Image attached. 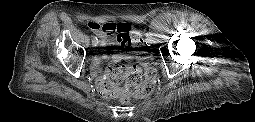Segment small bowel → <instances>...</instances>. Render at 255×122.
I'll return each mask as SVG.
<instances>
[{
	"label": "small bowel",
	"instance_id": "small-bowel-1",
	"mask_svg": "<svg viewBox=\"0 0 255 122\" xmlns=\"http://www.w3.org/2000/svg\"><path fill=\"white\" fill-rule=\"evenodd\" d=\"M97 40L100 41L101 47H106L108 45V34L103 31H96ZM125 39L122 36H117V39L114 43H111V45H117V46H126L124 44ZM106 57V55H104ZM133 59V56L130 53H116L114 54L113 60L114 62H121V61H131ZM100 65L99 60H95L93 62L92 68L94 71L98 69Z\"/></svg>",
	"mask_w": 255,
	"mask_h": 122
}]
</instances>
